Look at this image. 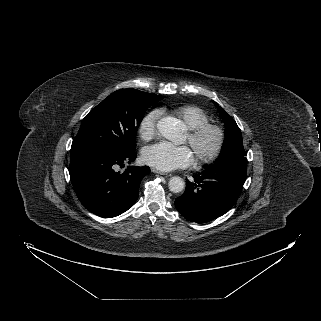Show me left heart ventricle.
Returning <instances> with one entry per match:
<instances>
[{"instance_id":"obj_1","label":"left heart ventricle","mask_w":321,"mask_h":321,"mask_svg":"<svg viewBox=\"0 0 321 321\" xmlns=\"http://www.w3.org/2000/svg\"><path fill=\"white\" fill-rule=\"evenodd\" d=\"M186 140H188V136H186ZM214 143H215V136L213 134L207 135L201 144V150L209 151L213 147Z\"/></svg>"}]
</instances>
